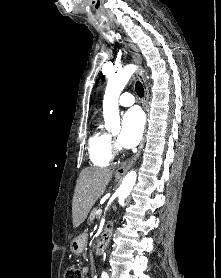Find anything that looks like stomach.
<instances>
[{
	"label": "stomach",
	"instance_id": "obj_1",
	"mask_svg": "<svg viewBox=\"0 0 221 278\" xmlns=\"http://www.w3.org/2000/svg\"><path fill=\"white\" fill-rule=\"evenodd\" d=\"M87 238L86 234H80L75 237L70 243V251L74 255H81L87 246Z\"/></svg>",
	"mask_w": 221,
	"mask_h": 278
}]
</instances>
